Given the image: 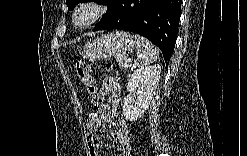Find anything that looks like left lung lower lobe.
Wrapping results in <instances>:
<instances>
[{
  "instance_id": "1",
  "label": "left lung lower lobe",
  "mask_w": 247,
  "mask_h": 156,
  "mask_svg": "<svg viewBox=\"0 0 247 156\" xmlns=\"http://www.w3.org/2000/svg\"><path fill=\"white\" fill-rule=\"evenodd\" d=\"M181 0H117L93 31L122 29L140 34L158 46L166 65L174 51Z\"/></svg>"
}]
</instances>
